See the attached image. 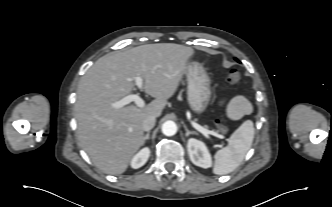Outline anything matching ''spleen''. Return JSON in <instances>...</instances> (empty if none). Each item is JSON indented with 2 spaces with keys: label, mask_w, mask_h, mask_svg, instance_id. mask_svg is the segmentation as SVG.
<instances>
[{
  "label": "spleen",
  "mask_w": 332,
  "mask_h": 207,
  "mask_svg": "<svg viewBox=\"0 0 332 207\" xmlns=\"http://www.w3.org/2000/svg\"><path fill=\"white\" fill-rule=\"evenodd\" d=\"M253 138L254 124L247 120L230 136L228 146L216 152L213 173L225 175L234 171L250 149Z\"/></svg>",
  "instance_id": "obj_1"
}]
</instances>
